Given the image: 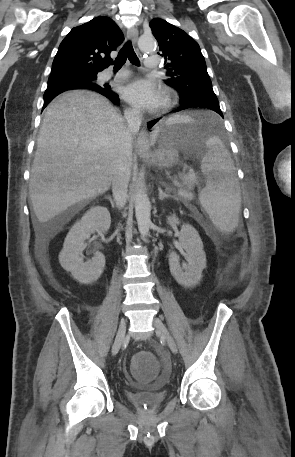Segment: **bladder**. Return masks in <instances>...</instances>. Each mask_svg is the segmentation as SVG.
Here are the masks:
<instances>
[{
	"label": "bladder",
	"instance_id": "1",
	"mask_svg": "<svg viewBox=\"0 0 295 457\" xmlns=\"http://www.w3.org/2000/svg\"><path fill=\"white\" fill-rule=\"evenodd\" d=\"M156 358L161 361L160 366L162 368L161 374L158 378H153V384L151 385V390L138 391V392H128L127 396L130 402L133 404L134 411H157L164 401L168 397L166 390L162 389L164 383H169L172 375L175 372L173 363L169 359V354L165 351L163 345H156L154 348ZM127 369L126 367L124 368ZM163 373V374H162ZM124 375L127 373L124 372Z\"/></svg>",
	"mask_w": 295,
	"mask_h": 457
}]
</instances>
